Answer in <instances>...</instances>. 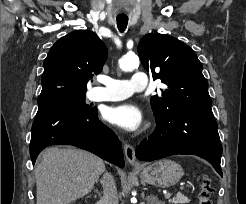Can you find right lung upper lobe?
<instances>
[{
  "instance_id": "right-lung-upper-lobe-1",
  "label": "right lung upper lobe",
  "mask_w": 246,
  "mask_h": 204,
  "mask_svg": "<svg viewBox=\"0 0 246 204\" xmlns=\"http://www.w3.org/2000/svg\"><path fill=\"white\" fill-rule=\"evenodd\" d=\"M106 59L107 48L94 32L77 30L62 37L44 60L38 102L62 94L86 93L87 82L101 72Z\"/></svg>"
}]
</instances>
